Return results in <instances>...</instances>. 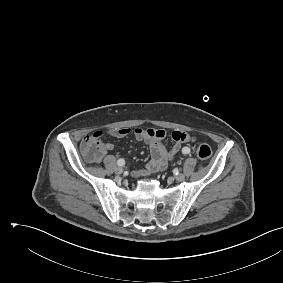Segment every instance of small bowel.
Wrapping results in <instances>:
<instances>
[{
  "label": "small bowel",
  "mask_w": 283,
  "mask_h": 283,
  "mask_svg": "<svg viewBox=\"0 0 283 283\" xmlns=\"http://www.w3.org/2000/svg\"><path fill=\"white\" fill-rule=\"evenodd\" d=\"M107 135L123 138L132 135L137 141H143L150 147L151 159L143 169L136 170L132 176H149L166 168L168 163L178 154L183 143L195 141V137L183 131H174L171 134L172 145L170 147L163 143L166 132L153 128H115L106 131ZM115 145L107 142L103 145V154L114 150Z\"/></svg>",
  "instance_id": "1"
}]
</instances>
